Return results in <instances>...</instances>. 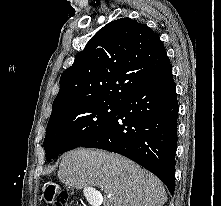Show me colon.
Listing matches in <instances>:
<instances>
[{
  "label": "colon",
  "instance_id": "colon-1",
  "mask_svg": "<svg viewBox=\"0 0 221 206\" xmlns=\"http://www.w3.org/2000/svg\"><path fill=\"white\" fill-rule=\"evenodd\" d=\"M67 198L68 195L66 192H61L59 193L56 202H55V206H66L67 205Z\"/></svg>",
  "mask_w": 221,
  "mask_h": 206
}]
</instances>
